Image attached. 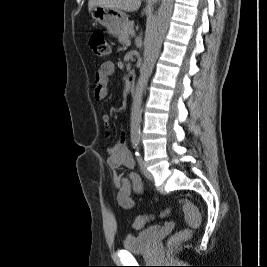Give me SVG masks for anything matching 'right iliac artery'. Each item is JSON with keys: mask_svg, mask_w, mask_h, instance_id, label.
<instances>
[{"mask_svg": "<svg viewBox=\"0 0 267 267\" xmlns=\"http://www.w3.org/2000/svg\"><path fill=\"white\" fill-rule=\"evenodd\" d=\"M133 145H134V147H136V146H137V144H136L135 142H133Z\"/></svg>", "mask_w": 267, "mask_h": 267, "instance_id": "1", "label": "right iliac artery"}]
</instances>
